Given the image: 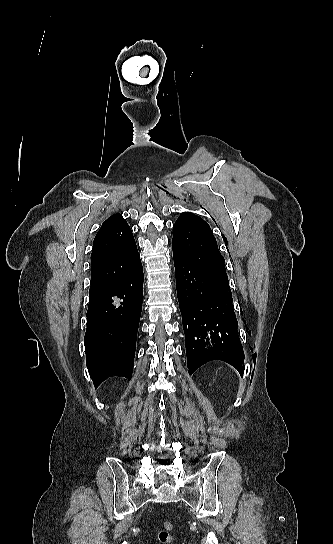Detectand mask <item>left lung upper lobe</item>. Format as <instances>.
<instances>
[{
	"label": "left lung upper lobe",
	"instance_id": "1",
	"mask_svg": "<svg viewBox=\"0 0 333 544\" xmlns=\"http://www.w3.org/2000/svg\"><path fill=\"white\" fill-rule=\"evenodd\" d=\"M173 251L190 262L213 271L229 285L224 258L210 226L200 217L183 212L174 224Z\"/></svg>",
	"mask_w": 333,
	"mask_h": 544
}]
</instances>
